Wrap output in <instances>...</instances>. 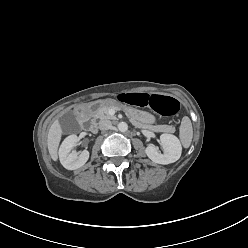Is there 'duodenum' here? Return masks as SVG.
<instances>
[{
  "label": "duodenum",
  "mask_w": 248,
  "mask_h": 248,
  "mask_svg": "<svg viewBox=\"0 0 248 248\" xmlns=\"http://www.w3.org/2000/svg\"><path fill=\"white\" fill-rule=\"evenodd\" d=\"M93 116V111L89 110V107L84 108L80 111L78 118L80 123L86 124L89 123L88 128L91 132H96L98 130V126L95 122H89Z\"/></svg>",
  "instance_id": "410a0bca"
}]
</instances>
